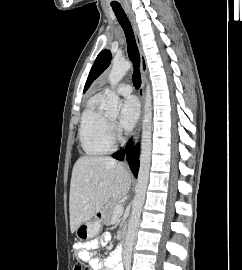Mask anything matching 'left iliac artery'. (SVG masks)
Instances as JSON below:
<instances>
[{"instance_id": "44dca946", "label": "left iliac artery", "mask_w": 242, "mask_h": 270, "mask_svg": "<svg viewBox=\"0 0 242 270\" xmlns=\"http://www.w3.org/2000/svg\"><path fill=\"white\" fill-rule=\"evenodd\" d=\"M126 270H130V267L128 266V267H126Z\"/></svg>"}]
</instances>
